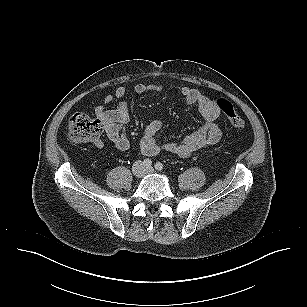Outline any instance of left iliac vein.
I'll use <instances>...</instances> for the list:
<instances>
[{"label": "left iliac vein", "mask_w": 307, "mask_h": 307, "mask_svg": "<svg viewBox=\"0 0 307 307\" xmlns=\"http://www.w3.org/2000/svg\"><path fill=\"white\" fill-rule=\"evenodd\" d=\"M146 172L147 173H153L154 169L152 167H149V168L146 169Z\"/></svg>", "instance_id": "1"}]
</instances>
